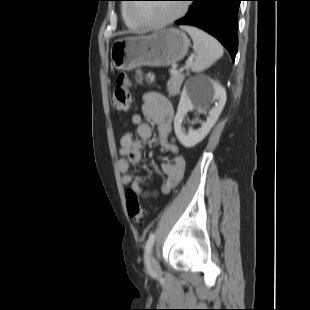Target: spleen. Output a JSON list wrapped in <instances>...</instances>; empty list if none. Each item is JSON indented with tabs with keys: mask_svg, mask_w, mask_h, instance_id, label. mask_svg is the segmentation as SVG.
<instances>
[{
	"mask_svg": "<svg viewBox=\"0 0 310 310\" xmlns=\"http://www.w3.org/2000/svg\"><path fill=\"white\" fill-rule=\"evenodd\" d=\"M182 29L191 36L194 44L193 48L197 54L195 60L191 63V69L194 72L204 71L222 57L223 47L214 37L196 27L182 26Z\"/></svg>",
	"mask_w": 310,
	"mask_h": 310,
	"instance_id": "spleen-1",
	"label": "spleen"
}]
</instances>
